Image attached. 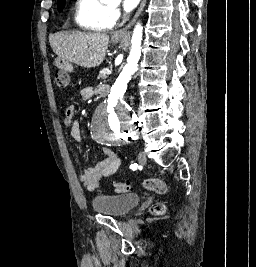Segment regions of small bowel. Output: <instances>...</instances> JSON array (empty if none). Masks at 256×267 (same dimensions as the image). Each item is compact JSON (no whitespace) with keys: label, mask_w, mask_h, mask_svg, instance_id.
<instances>
[{"label":"small bowel","mask_w":256,"mask_h":267,"mask_svg":"<svg viewBox=\"0 0 256 267\" xmlns=\"http://www.w3.org/2000/svg\"><path fill=\"white\" fill-rule=\"evenodd\" d=\"M104 88H94L92 86L84 87L80 92V98L84 101L90 100L95 94H103ZM75 108L70 106L66 109L63 124L70 128L72 138L81 143L83 138L77 122L74 120ZM104 158L82 171L79 175L81 183L89 190L94 191L98 189L102 182L114 175L121 165V157L111 147H103Z\"/></svg>","instance_id":"small-bowel-1"}]
</instances>
